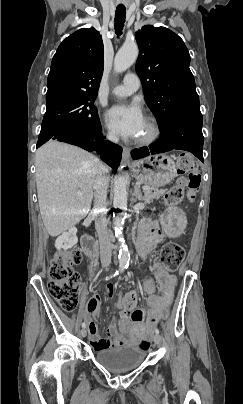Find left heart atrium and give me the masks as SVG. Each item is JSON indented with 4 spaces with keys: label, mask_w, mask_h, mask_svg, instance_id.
<instances>
[{
    "label": "left heart atrium",
    "mask_w": 243,
    "mask_h": 404,
    "mask_svg": "<svg viewBox=\"0 0 243 404\" xmlns=\"http://www.w3.org/2000/svg\"><path fill=\"white\" fill-rule=\"evenodd\" d=\"M105 122L111 131L135 140L143 134L146 120L140 105L131 102L110 108L105 114Z\"/></svg>",
    "instance_id": "1"
}]
</instances>
